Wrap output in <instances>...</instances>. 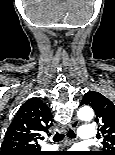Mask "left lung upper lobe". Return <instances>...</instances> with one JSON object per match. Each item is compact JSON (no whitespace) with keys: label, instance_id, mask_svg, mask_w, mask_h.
I'll return each mask as SVG.
<instances>
[{"label":"left lung upper lobe","instance_id":"1","mask_svg":"<svg viewBox=\"0 0 115 155\" xmlns=\"http://www.w3.org/2000/svg\"><path fill=\"white\" fill-rule=\"evenodd\" d=\"M81 105H90L95 110V121L100 122L99 130L103 136V150L94 151L91 155H115V105L95 91L87 92Z\"/></svg>","mask_w":115,"mask_h":155}]
</instances>
